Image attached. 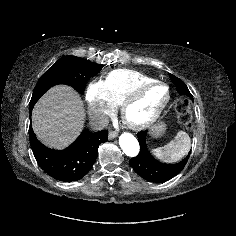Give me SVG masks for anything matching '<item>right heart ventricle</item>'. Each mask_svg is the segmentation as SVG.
I'll return each instance as SVG.
<instances>
[{"instance_id":"obj_1","label":"right heart ventricle","mask_w":236,"mask_h":236,"mask_svg":"<svg viewBox=\"0 0 236 236\" xmlns=\"http://www.w3.org/2000/svg\"><path fill=\"white\" fill-rule=\"evenodd\" d=\"M153 80L155 79L136 70H113L104 79L107 99L114 107L119 106L134 89Z\"/></svg>"}]
</instances>
